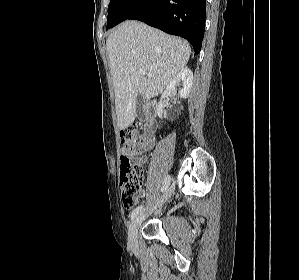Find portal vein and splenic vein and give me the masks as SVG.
Returning a JSON list of instances; mask_svg holds the SVG:
<instances>
[{
  "mask_svg": "<svg viewBox=\"0 0 299 280\" xmlns=\"http://www.w3.org/2000/svg\"><path fill=\"white\" fill-rule=\"evenodd\" d=\"M139 73H140L141 75H145V74H146V71H145L144 69H140V70H139ZM148 75H151V72H148Z\"/></svg>",
  "mask_w": 299,
  "mask_h": 280,
  "instance_id": "portal-vein-and-splenic-vein-1",
  "label": "portal vein and splenic vein"
}]
</instances>
